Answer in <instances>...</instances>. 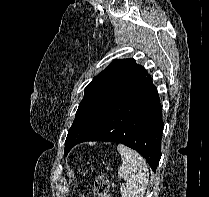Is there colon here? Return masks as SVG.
<instances>
[{
  "label": "colon",
  "instance_id": "1",
  "mask_svg": "<svg viewBox=\"0 0 209 197\" xmlns=\"http://www.w3.org/2000/svg\"><path fill=\"white\" fill-rule=\"evenodd\" d=\"M94 193L97 197H110V183L106 177H96L94 182Z\"/></svg>",
  "mask_w": 209,
  "mask_h": 197
}]
</instances>
